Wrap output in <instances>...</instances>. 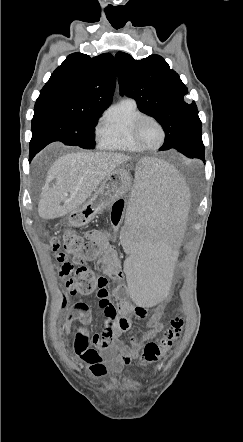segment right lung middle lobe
<instances>
[{"instance_id":"1","label":"right lung middle lobe","mask_w":243,"mask_h":442,"mask_svg":"<svg viewBox=\"0 0 243 442\" xmlns=\"http://www.w3.org/2000/svg\"><path fill=\"white\" fill-rule=\"evenodd\" d=\"M102 110H82L57 99H37L32 138L94 149V130Z\"/></svg>"}]
</instances>
